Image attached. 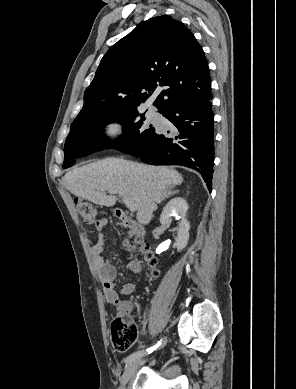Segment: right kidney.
Wrapping results in <instances>:
<instances>
[{"instance_id": "ca27d5eb", "label": "right kidney", "mask_w": 296, "mask_h": 389, "mask_svg": "<svg viewBox=\"0 0 296 389\" xmlns=\"http://www.w3.org/2000/svg\"><path fill=\"white\" fill-rule=\"evenodd\" d=\"M187 211V202L181 197H175L166 204L160 216V223L162 226H169L172 216L175 217L176 220H180L176 240L178 252L185 249L189 240L190 223L186 219Z\"/></svg>"}]
</instances>
